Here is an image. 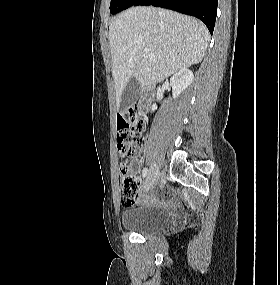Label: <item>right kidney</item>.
<instances>
[{"label": "right kidney", "mask_w": 280, "mask_h": 285, "mask_svg": "<svg viewBox=\"0 0 280 285\" xmlns=\"http://www.w3.org/2000/svg\"><path fill=\"white\" fill-rule=\"evenodd\" d=\"M194 79L193 72L189 69H181L175 73L171 79L170 84L173 90V98H177L190 84ZM157 109V105H152V111Z\"/></svg>", "instance_id": "obj_1"}]
</instances>
